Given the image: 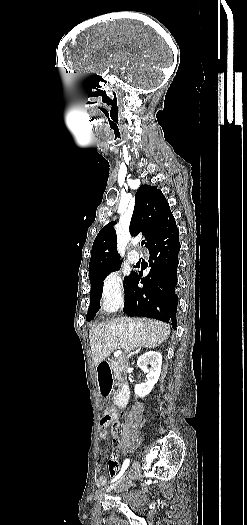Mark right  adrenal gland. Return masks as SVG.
<instances>
[{"instance_id": "right-adrenal-gland-1", "label": "right adrenal gland", "mask_w": 247, "mask_h": 525, "mask_svg": "<svg viewBox=\"0 0 247 525\" xmlns=\"http://www.w3.org/2000/svg\"><path fill=\"white\" fill-rule=\"evenodd\" d=\"M139 351H140V347H138V349H134L133 353H130L128 357H131V355H136V353H139Z\"/></svg>"}]
</instances>
